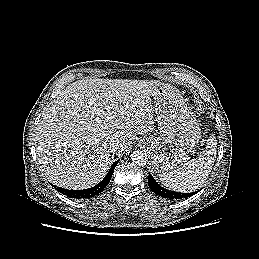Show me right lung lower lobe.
Wrapping results in <instances>:
<instances>
[{"mask_svg": "<svg viewBox=\"0 0 259 259\" xmlns=\"http://www.w3.org/2000/svg\"><path fill=\"white\" fill-rule=\"evenodd\" d=\"M118 162H119V160L115 161L112 164L106 177L100 183H98L96 186H94L92 188H88V189H84V190H68V189H62V188H59L56 186H53V187L56 190H58L59 192H61L62 194L67 195L70 198L80 199V198H89V197L95 196V195L99 194L100 192H102L105 189V187L108 185V183L112 177L114 168Z\"/></svg>", "mask_w": 259, "mask_h": 259, "instance_id": "98d812e1", "label": "right lung lower lobe"}]
</instances>
